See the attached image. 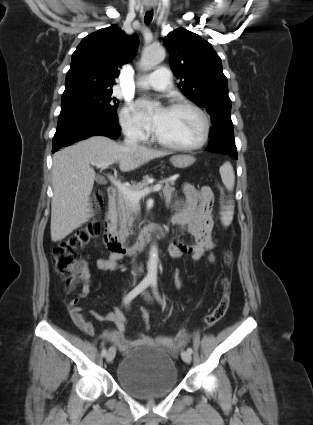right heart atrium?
<instances>
[{
  "mask_svg": "<svg viewBox=\"0 0 313 425\" xmlns=\"http://www.w3.org/2000/svg\"><path fill=\"white\" fill-rule=\"evenodd\" d=\"M121 128L126 136L137 141H144L147 133L144 126L137 117L133 107L126 105L119 115Z\"/></svg>",
  "mask_w": 313,
  "mask_h": 425,
  "instance_id": "d8ad5b80",
  "label": "right heart atrium"
}]
</instances>
